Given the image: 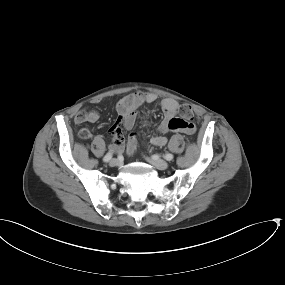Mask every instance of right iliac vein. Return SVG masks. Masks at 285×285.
Listing matches in <instances>:
<instances>
[{"label": "right iliac vein", "mask_w": 285, "mask_h": 285, "mask_svg": "<svg viewBox=\"0 0 285 285\" xmlns=\"http://www.w3.org/2000/svg\"><path fill=\"white\" fill-rule=\"evenodd\" d=\"M109 164H110V166L115 167V166H118L120 164V161L116 158H113Z\"/></svg>", "instance_id": "1"}]
</instances>
